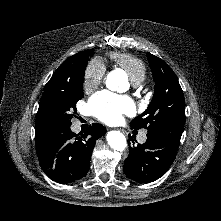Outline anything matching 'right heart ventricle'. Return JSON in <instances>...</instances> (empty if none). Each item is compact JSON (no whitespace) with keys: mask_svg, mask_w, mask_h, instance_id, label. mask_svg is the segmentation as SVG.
<instances>
[{"mask_svg":"<svg viewBox=\"0 0 221 221\" xmlns=\"http://www.w3.org/2000/svg\"><path fill=\"white\" fill-rule=\"evenodd\" d=\"M112 61L129 75L134 85L142 83L146 77V66L137 57L126 53H113L110 55Z\"/></svg>","mask_w":221,"mask_h":221,"instance_id":"obj_1","label":"right heart ventricle"}]
</instances>
